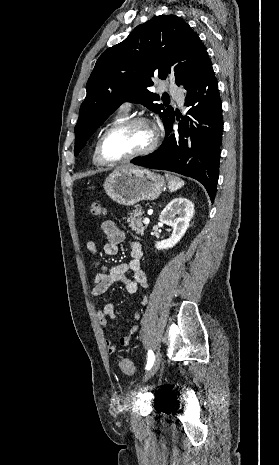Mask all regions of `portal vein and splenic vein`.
<instances>
[{"mask_svg": "<svg viewBox=\"0 0 279 465\" xmlns=\"http://www.w3.org/2000/svg\"><path fill=\"white\" fill-rule=\"evenodd\" d=\"M143 222H144L145 224H149L150 220H149V218L146 217V218L143 220Z\"/></svg>", "mask_w": 279, "mask_h": 465, "instance_id": "18ae733b", "label": "portal vein and splenic vein"}]
</instances>
